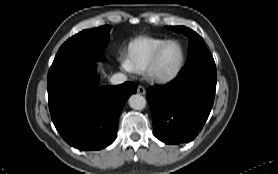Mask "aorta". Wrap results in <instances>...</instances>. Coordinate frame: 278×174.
Segmentation results:
<instances>
[{
  "label": "aorta",
  "mask_w": 278,
  "mask_h": 174,
  "mask_svg": "<svg viewBox=\"0 0 278 174\" xmlns=\"http://www.w3.org/2000/svg\"><path fill=\"white\" fill-rule=\"evenodd\" d=\"M129 106L135 110H143L146 107V99L140 94H133L130 96Z\"/></svg>",
  "instance_id": "762f6f07"
}]
</instances>
